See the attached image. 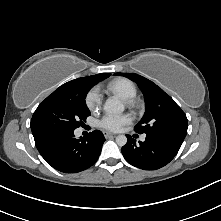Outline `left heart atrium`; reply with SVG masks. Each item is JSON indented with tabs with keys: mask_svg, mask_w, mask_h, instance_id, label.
I'll list each match as a JSON object with an SVG mask.
<instances>
[{
	"mask_svg": "<svg viewBox=\"0 0 221 221\" xmlns=\"http://www.w3.org/2000/svg\"><path fill=\"white\" fill-rule=\"evenodd\" d=\"M131 118L127 114H106L100 120L102 128L110 131H119L123 126L129 124Z\"/></svg>",
	"mask_w": 221,
	"mask_h": 221,
	"instance_id": "left-heart-atrium-1",
	"label": "left heart atrium"
}]
</instances>
